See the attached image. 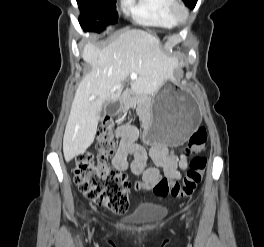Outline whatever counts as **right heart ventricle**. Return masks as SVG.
<instances>
[{"label":"right heart ventricle","instance_id":"1","mask_svg":"<svg viewBox=\"0 0 264 247\" xmlns=\"http://www.w3.org/2000/svg\"><path fill=\"white\" fill-rule=\"evenodd\" d=\"M176 0H127V9L138 23L166 29L176 27L172 7Z\"/></svg>","mask_w":264,"mask_h":247}]
</instances>
